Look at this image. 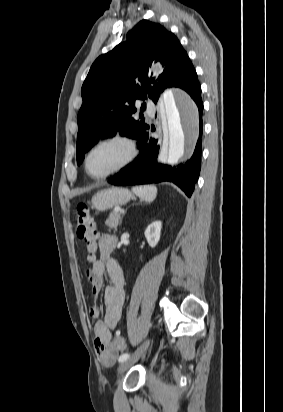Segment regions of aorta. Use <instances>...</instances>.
Instances as JSON below:
<instances>
[{
  "instance_id": "obj_1",
  "label": "aorta",
  "mask_w": 283,
  "mask_h": 412,
  "mask_svg": "<svg viewBox=\"0 0 283 412\" xmlns=\"http://www.w3.org/2000/svg\"><path fill=\"white\" fill-rule=\"evenodd\" d=\"M167 119V163L176 164L185 154L191 140L197 136L198 110L193 100L184 92L163 93Z\"/></svg>"
}]
</instances>
